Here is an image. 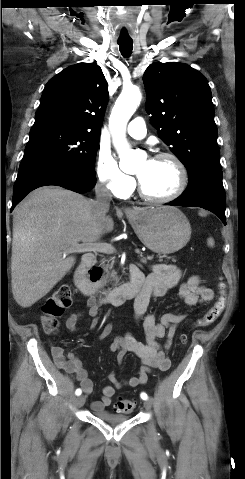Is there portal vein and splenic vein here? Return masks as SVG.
Listing matches in <instances>:
<instances>
[{
  "label": "portal vein and splenic vein",
  "instance_id": "obj_1",
  "mask_svg": "<svg viewBox=\"0 0 245 479\" xmlns=\"http://www.w3.org/2000/svg\"><path fill=\"white\" fill-rule=\"evenodd\" d=\"M73 252H101L106 254H112L115 252V248L111 244H97L83 242L81 244L74 242L72 244ZM135 253L142 254L139 249H135Z\"/></svg>",
  "mask_w": 245,
  "mask_h": 479
}]
</instances>
